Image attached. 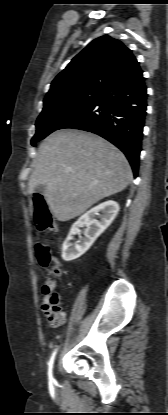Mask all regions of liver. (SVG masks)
Here are the masks:
<instances>
[{
    "label": "liver",
    "mask_w": 168,
    "mask_h": 415,
    "mask_svg": "<svg viewBox=\"0 0 168 415\" xmlns=\"http://www.w3.org/2000/svg\"><path fill=\"white\" fill-rule=\"evenodd\" d=\"M132 177L125 155L110 142L90 132L59 130L39 147L29 193L45 186L44 197L52 214L65 222L123 191Z\"/></svg>",
    "instance_id": "1"
}]
</instances>
